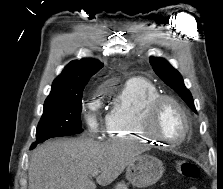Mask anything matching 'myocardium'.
Instances as JSON below:
<instances>
[{
    "mask_svg": "<svg viewBox=\"0 0 223 189\" xmlns=\"http://www.w3.org/2000/svg\"><path fill=\"white\" fill-rule=\"evenodd\" d=\"M166 102L173 104L180 111L185 122L183 136L179 140L174 142H170L167 139L163 138L156 131V120L158 113L163 104ZM140 128L142 133L148 138L164 143L168 147H177L185 142L190 136L192 124L188 111L179 100L170 95L159 94L147 103L140 117Z\"/></svg>",
    "mask_w": 223,
    "mask_h": 189,
    "instance_id": "f54148a6",
    "label": "myocardium"
}]
</instances>
